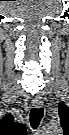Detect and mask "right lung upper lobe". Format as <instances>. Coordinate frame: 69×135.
Returning <instances> with one entry per match:
<instances>
[{
  "mask_svg": "<svg viewBox=\"0 0 69 135\" xmlns=\"http://www.w3.org/2000/svg\"><path fill=\"white\" fill-rule=\"evenodd\" d=\"M0 124L2 127L10 129L11 131H14L18 135L25 134L26 132L25 126L23 124H19L18 122H14V117L11 114H7L6 116H4L1 119Z\"/></svg>",
  "mask_w": 69,
  "mask_h": 135,
  "instance_id": "right-lung-upper-lobe-1",
  "label": "right lung upper lobe"
}]
</instances>
